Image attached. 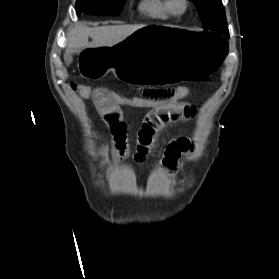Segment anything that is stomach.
<instances>
[{
    "instance_id": "0dacf381",
    "label": "stomach",
    "mask_w": 279,
    "mask_h": 279,
    "mask_svg": "<svg viewBox=\"0 0 279 279\" xmlns=\"http://www.w3.org/2000/svg\"><path fill=\"white\" fill-rule=\"evenodd\" d=\"M120 43L99 50H80L76 75L85 82H103L117 75L140 91H160L178 82H214L229 55L225 34L178 28L176 25H138Z\"/></svg>"
}]
</instances>
